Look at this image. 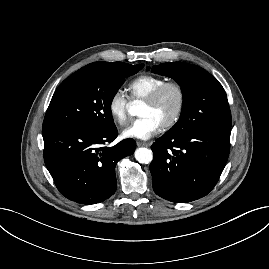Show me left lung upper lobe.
Masks as SVG:
<instances>
[{
  "label": "left lung upper lobe",
  "instance_id": "5c2ea615",
  "mask_svg": "<svg viewBox=\"0 0 269 269\" xmlns=\"http://www.w3.org/2000/svg\"><path fill=\"white\" fill-rule=\"evenodd\" d=\"M151 71L173 78L183 92L180 119L167 134L183 135L199 128L231 127L226 92L206 70L188 63L167 62L153 66Z\"/></svg>",
  "mask_w": 269,
  "mask_h": 269
}]
</instances>
